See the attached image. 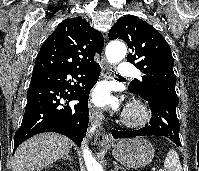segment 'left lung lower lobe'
I'll list each match as a JSON object with an SVG mask.
<instances>
[{"mask_svg":"<svg viewBox=\"0 0 199 171\" xmlns=\"http://www.w3.org/2000/svg\"><path fill=\"white\" fill-rule=\"evenodd\" d=\"M148 101L152 112L150 125L135 131L112 130L114 138H130L136 136H164L181 147L179 138L180 123L176 115L178 102L160 96L143 97Z\"/></svg>","mask_w":199,"mask_h":171,"instance_id":"left-lung-lower-lobe-1","label":"left lung lower lobe"}]
</instances>
